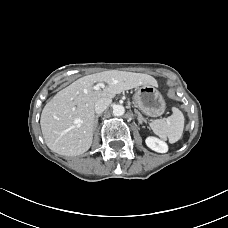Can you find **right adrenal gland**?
Returning <instances> with one entry per match:
<instances>
[{
	"instance_id": "1",
	"label": "right adrenal gland",
	"mask_w": 228,
	"mask_h": 228,
	"mask_svg": "<svg viewBox=\"0 0 228 228\" xmlns=\"http://www.w3.org/2000/svg\"><path fill=\"white\" fill-rule=\"evenodd\" d=\"M100 116H101V114L96 115V117H95V122H94V127L97 126V124H98V118H99Z\"/></svg>"
}]
</instances>
